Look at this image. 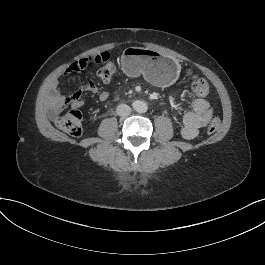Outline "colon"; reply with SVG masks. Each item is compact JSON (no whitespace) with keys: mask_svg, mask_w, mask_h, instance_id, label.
Segmentation results:
<instances>
[{"mask_svg":"<svg viewBox=\"0 0 265 265\" xmlns=\"http://www.w3.org/2000/svg\"><path fill=\"white\" fill-rule=\"evenodd\" d=\"M96 65H101L98 71L99 78L104 82H108L112 78L116 67L115 63L110 60L107 52L98 53L74 62L66 70V73L68 75H73L88 66ZM189 74L194 79L192 83V90L194 94L198 97L206 96L210 91L208 82L203 78L193 76L191 72H189ZM56 124L59 129L74 137L80 136L83 131L82 114L78 109H72L66 115L58 118ZM219 128L220 119L218 117H214L208 126V132L210 134L215 133Z\"/></svg>","mask_w":265,"mask_h":265,"instance_id":"1","label":"colon"}]
</instances>
